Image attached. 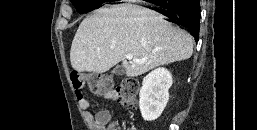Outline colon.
<instances>
[{"mask_svg":"<svg viewBox=\"0 0 257 130\" xmlns=\"http://www.w3.org/2000/svg\"><path fill=\"white\" fill-rule=\"evenodd\" d=\"M71 81L78 98L83 97L84 88L87 87L92 93L115 98L121 105L129 109L136 108L139 82L134 78H127L116 86L111 75L72 72ZM96 124H100V122L96 121Z\"/></svg>","mask_w":257,"mask_h":130,"instance_id":"obj_1","label":"colon"}]
</instances>
